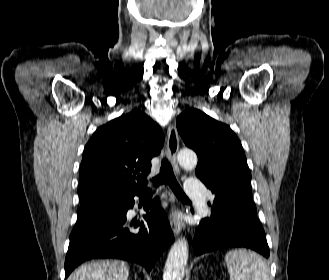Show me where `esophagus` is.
I'll use <instances>...</instances> for the list:
<instances>
[{"mask_svg": "<svg viewBox=\"0 0 329 280\" xmlns=\"http://www.w3.org/2000/svg\"><path fill=\"white\" fill-rule=\"evenodd\" d=\"M179 149V136L175 126L170 125L167 132V153L176 173H179V166L176 160ZM169 223L175 236L182 230L183 224L178 219L175 210L172 208L169 213Z\"/></svg>", "mask_w": 329, "mask_h": 280, "instance_id": "34e87169", "label": "esophagus"}]
</instances>
